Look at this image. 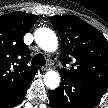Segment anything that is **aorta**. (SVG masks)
I'll use <instances>...</instances> for the list:
<instances>
[{
  "label": "aorta",
  "mask_w": 108,
  "mask_h": 108,
  "mask_svg": "<svg viewBox=\"0 0 108 108\" xmlns=\"http://www.w3.org/2000/svg\"><path fill=\"white\" fill-rule=\"evenodd\" d=\"M37 45L47 52H54L58 47L56 34L49 28H39L34 34ZM44 84L50 89H56L60 84V75L54 70H49L44 75Z\"/></svg>",
  "instance_id": "obj_1"
}]
</instances>
